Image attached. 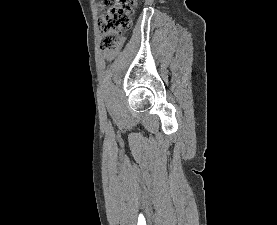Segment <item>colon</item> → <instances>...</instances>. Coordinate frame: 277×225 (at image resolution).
Returning a JSON list of instances; mask_svg holds the SVG:
<instances>
[{"label":"colon","mask_w":277,"mask_h":225,"mask_svg":"<svg viewBox=\"0 0 277 225\" xmlns=\"http://www.w3.org/2000/svg\"><path fill=\"white\" fill-rule=\"evenodd\" d=\"M136 3L137 0H99L102 12L98 19L99 48L102 52L111 54L120 49L122 33L131 25Z\"/></svg>","instance_id":"colon-1"}]
</instances>
